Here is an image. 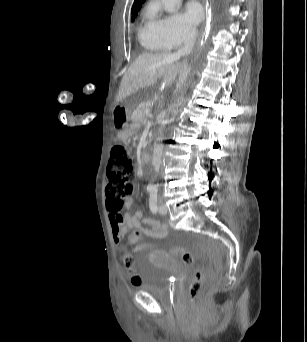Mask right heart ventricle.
<instances>
[{
  "mask_svg": "<svg viewBox=\"0 0 307 342\" xmlns=\"http://www.w3.org/2000/svg\"><path fill=\"white\" fill-rule=\"evenodd\" d=\"M139 43L146 54H155L166 49V45L159 39L141 33L138 36Z\"/></svg>",
  "mask_w": 307,
  "mask_h": 342,
  "instance_id": "right-heart-ventricle-1",
  "label": "right heart ventricle"
}]
</instances>
